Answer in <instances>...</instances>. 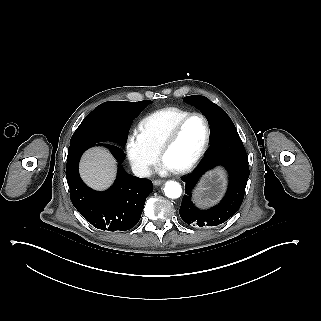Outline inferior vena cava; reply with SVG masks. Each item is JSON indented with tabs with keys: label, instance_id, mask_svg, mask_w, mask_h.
<instances>
[{
	"label": "inferior vena cava",
	"instance_id": "obj_1",
	"mask_svg": "<svg viewBox=\"0 0 321 321\" xmlns=\"http://www.w3.org/2000/svg\"><path fill=\"white\" fill-rule=\"evenodd\" d=\"M131 169L134 175L138 177H150L153 174L152 170L143 164H133Z\"/></svg>",
	"mask_w": 321,
	"mask_h": 321
}]
</instances>
